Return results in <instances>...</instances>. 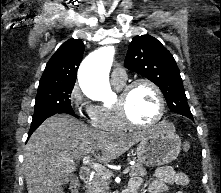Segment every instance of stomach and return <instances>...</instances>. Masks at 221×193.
I'll return each instance as SVG.
<instances>
[{"mask_svg":"<svg viewBox=\"0 0 221 193\" xmlns=\"http://www.w3.org/2000/svg\"><path fill=\"white\" fill-rule=\"evenodd\" d=\"M181 149V139L174 128L161 122L138 144V160L147 166H160L175 160Z\"/></svg>","mask_w":221,"mask_h":193,"instance_id":"stomach-1","label":"stomach"}]
</instances>
